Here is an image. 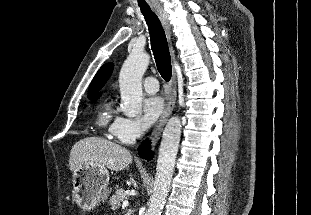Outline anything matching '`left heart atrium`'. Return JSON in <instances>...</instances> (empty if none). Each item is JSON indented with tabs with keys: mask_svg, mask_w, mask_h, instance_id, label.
<instances>
[{
	"mask_svg": "<svg viewBox=\"0 0 311 215\" xmlns=\"http://www.w3.org/2000/svg\"><path fill=\"white\" fill-rule=\"evenodd\" d=\"M164 103L159 96H150L144 100L141 124L147 129L152 126L163 113Z\"/></svg>",
	"mask_w": 311,
	"mask_h": 215,
	"instance_id": "left-heart-atrium-1",
	"label": "left heart atrium"
}]
</instances>
